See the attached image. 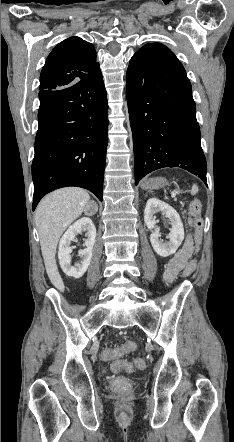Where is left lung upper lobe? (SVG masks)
<instances>
[{
	"label": "left lung upper lobe",
	"instance_id": "left-lung-upper-lobe-1",
	"mask_svg": "<svg viewBox=\"0 0 234 442\" xmlns=\"http://www.w3.org/2000/svg\"><path fill=\"white\" fill-rule=\"evenodd\" d=\"M135 55H140L149 58L172 59L178 61L174 53L166 46L160 43L146 44Z\"/></svg>",
	"mask_w": 234,
	"mask_h": 442
}]
</instances>
